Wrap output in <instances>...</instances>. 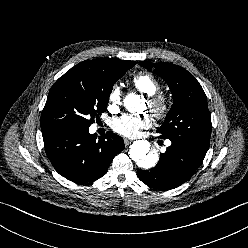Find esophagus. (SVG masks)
Masks as SVG:
<instances>
[{"label":"esophagus","mask_w":248,"mask_h":248,"mask_svg":"<svg viewBox=\"0 0 248 248\" xmlns=\"http://www.w3.org/2000/svg\"><path fill=\"white\" fill-rule=\"evenodd\" d=\"M124 143H125L126 146H128L131 143V140L125 138L124 139Z\"/></svg>","instance_id":"1"}]
</instances>
